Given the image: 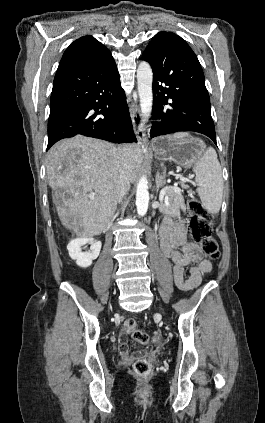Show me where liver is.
Wrapping results in <instances>:
<instances>
[{
	"mask_svg": "<svg viewBox=\"0 0 265 423\" xmlns=\"http://www.w3.org/2000/svg\"><path fill=\"white\" fill-rule=\"evenodd\" d=\"M124 160L130 181L136 179L142 155L133 144L112 143L76 135L56 143L48 152L46 172L62 225L78 237L100 234L117 204L119 162ZM58 189L63 190L58 194Z\"/></svg>",
	"mask_w": 265,
	"mask_h": 423,
	"instance_id": "obj_1",
	"label": "liver"
}]
</instances>
